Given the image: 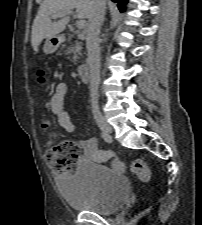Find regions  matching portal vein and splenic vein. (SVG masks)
<instances>
[{
	"instance_id": "portal-vein-and-splenic-vein-1",
	"label": "portal vein and splenic vein",
	"mask_w": 202,
	"mask_h": 225,
	"mask_svg": "<svg viewBox=\"0 0 202 225\" xmlns=\"http://www.w3.org/2000/svg\"><path fill=\"white\" fill-rule=\"evenodd\" d=\"M72 13H73L72 11H69L66 14H55V15H52V18L56 19V18H59V17H63L65 15H70ZM86 25H87V22L84 19H81V20L77 21V23H76V26H77L78 29H84L86 27Z\"/></svg>"
}]
</instances>
